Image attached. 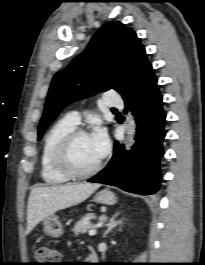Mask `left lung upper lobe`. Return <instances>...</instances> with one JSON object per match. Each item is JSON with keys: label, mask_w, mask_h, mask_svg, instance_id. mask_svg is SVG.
Returning <instances> with one entry per match:
<instances>
[{"label": "left lung upper lobe", "mask_w": 205, "mask_h": 265, "mask_svg": "<svg viewBox=\"0 0 205 265\" xmlns=\"http://www.w3.org/2000/svg\"><path fill=\"white\" fill-rule=\"evenodd\" d=\"M151 66L132 29L118 21L106 23L86 50L55 74L38 126V140L65 106L110 88L124 97Z\"/></svg>", "instance_id": "5c2ea615"}]
</instances>
